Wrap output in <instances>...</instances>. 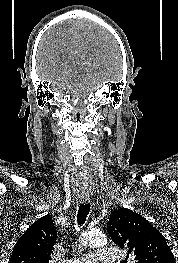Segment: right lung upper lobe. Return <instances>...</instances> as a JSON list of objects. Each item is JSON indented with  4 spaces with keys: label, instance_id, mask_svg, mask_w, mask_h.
Here are the masks:
<instances>
[{
    "label": "right lung upper lobe",
    "instance_id": "1",
    "mask_svg": "<svg viewBox=\"0 0 178 263\" xmlns=\"http://www.w3.org/2000/svg\"><path fill=\"white\" fill-rule=\"evenodd\" d=\"M56 238L52 218L41 217L18 239L9 263H49Z\"/></svg>",
    "mask_w": 178,
    "mask_h": 263
}]
</instances>
